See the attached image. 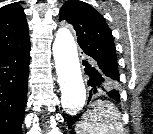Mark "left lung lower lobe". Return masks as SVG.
Here are the masks:
<instances>
[{
    "label": "left lung lower lobe",
    "mask_w": 153,
    "mask_h": 134,
    "mask_svg": "<svg viewBox=\"0 0 153 134\" xmlns=\"http://www.w3.org/2000/svg\"><path fill=\"white\" fill-rule=\"evenodd\" d=\"M83 65L85 66V73L88 75V86L92 89L90 90L89 100L91 97L100 91H106L108 96L119 101V92L117 90H107V84L109 81L114 80L117 75L112 69L106 68L103 64L93 61L91 59L83 60ZM119 77V76H118ZM81 114L78 116L68 118V127L71 128L73 123H75Z\"/></svg>",
    "instance_id": "left-lung-lower-lobe-1"
}]
</instances>
